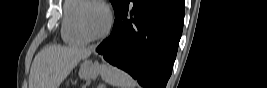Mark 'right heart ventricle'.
<instances>
[{
  "label": "right heart ventricle",
  "instance_id": "obj_1",
  "mask_svg": "<svg viewBox=\"0 0 267 88\" xmlns=\"http://www.w3.org/2000/svg\"><path fill=\"white\" fill-rule=\"evenodd\" d=\"M89 0H69L64 4V18L62 23L61 34L63 40L69 45L81 46L87 43L77 26V13L81 5Z\"/></svg>",
  "mask_w": 267,
  "mask_h": 88
}]
</instances>
